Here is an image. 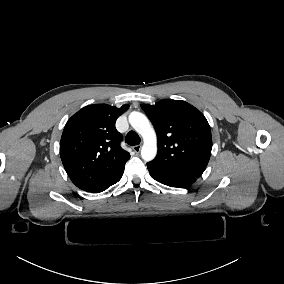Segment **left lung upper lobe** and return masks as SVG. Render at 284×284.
I'll use <instances>...</instances> for the list:
<instances>
[{
  "mask_svg": "<svg viewBox=\"0 0 284 284\" xmlns=\"http://www.w3.org/2000/svg\"><path fill=\"white\" fill-rule=\"evenodd\" d=\"M141 106L153 123L158 140V154L149 163L175 174L200 177L212 149L205 116L185 101L164 99Z\"/></svg>",
  "mask_w": 284,
  "mask_h": 284,
  "instance_id": "5c2ea615",
  "label": "left lung upper lobe"
}]
</instances>
